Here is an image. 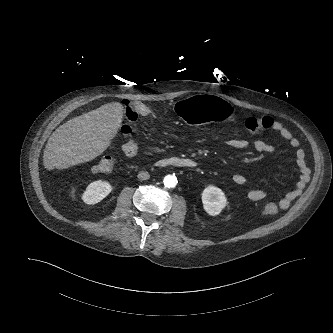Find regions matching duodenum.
Returning <instances> with one entry per match:
<instances>
[{"label":"duodenum","instance_id":"1","mask_svg":"<svg viewBox=\"0 0 333 333\" xmlns=\"http://www.w3.org/2000/svg\"><path fill=\"white\" fill-rule=\"evenodd\" d=\"M156 165L158 167H176V168L193 169L197 166V163L193 159L189 158L169 157L157 161Z\"/></svg>","mask_w":333,"mask_h":333}]
</instances>
